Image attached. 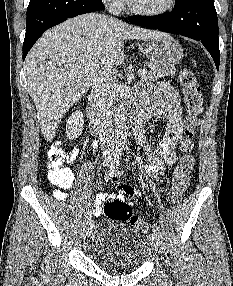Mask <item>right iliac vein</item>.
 I'll return each mask as SVG.
<instances>
[{"label":"right iliac vein","mask_w":233,"mask_h":286,"mask_svg":"<svg viewBox=\"0 0 233 286\" xmlns=\"http://www.w3.org/2000/svg\"><path fill=\"white\" fill-rule=\"evenodd\" d=\"M105 166L109 164V160L107 159L105 162ZM93 222H89L84 228V238H88L92 233Z\"/></svg>","instance_id":"right-iliac-vein-1"}]
</instances>
